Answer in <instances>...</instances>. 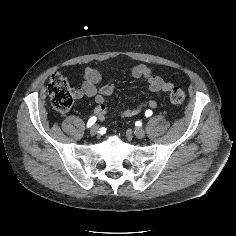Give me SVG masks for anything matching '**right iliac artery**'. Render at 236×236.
Instances as JSON below:
<instances>
[{
	"label": "right iliac artery",
	"mask_w": 236,
	"mask_h": 236,
	"mask_svg": "<svg viewBox=\"0 0 236 236\" xmlns=\"http://www.w3.org/2000/svg\"><path fill=\"white\" fill-rule=\"evenodd\" d=\"M95 122H96V117L95 116L91 117L87 123V127L90 128Z\"/></svg>",
	"instance_id": "82829eb1"
}]
</instances>
